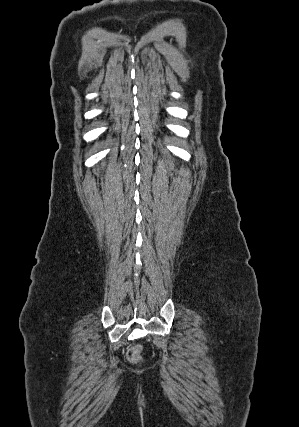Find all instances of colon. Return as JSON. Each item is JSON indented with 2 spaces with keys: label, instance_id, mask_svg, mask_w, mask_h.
I'll use <instances>...</instances> for the list:
<instances>
[{
  "label": "colon",
  "instance_id": "1",
  "mask_svg": "<svg viewBox=\"0 0 299 427\" xmlns=\"http://www.w3.org/2000/svg\"><path fill=\"white\" fill-rule=\"evenodd\" d=\"M142 347L139 345L132 346L127 351V359L129 362L136 364L141 360Z\"/></svg>",
  "mask_w": 299,
  "mask_h": 427
}]
</instances>
